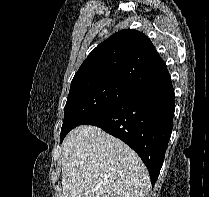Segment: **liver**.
Wrapping results in <instances>:
<instances>
[{"instance_id": "obj_1", "label": "liver", "mask_w": 209, "mask_h": 197, "mask_svg": "<svg viewBox=\"0 0 209 197\" xmlns=\"http://www.w3.org/2000/svg\"><path fill=\"white\" fill-rule=\"evenodd\" d=\"M61 197H145L151 181L128 145L96 126H79L62 144Z\"/></svg>"}]
</instances>
